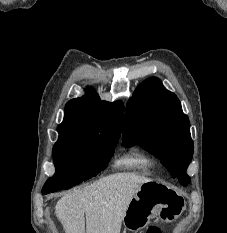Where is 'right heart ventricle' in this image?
<instances>
[{
  "mask_svg": "<svg viewBox=\"0 0 227 233\" xmlns=\"http://www.w3.org/2000/svg\"><path fill=\"white\" fill-rule=\"evenodd\" d=\"M117 164L129 169L150 171L154 167V160L145 151L140 148H134L124 154Z\"/></svg>",
  "mask_w": 227,
  "mask_h": 233,
  "instance_id": "e07e8e85",
  "label": "right heart ventricle"
}]
</instances>
